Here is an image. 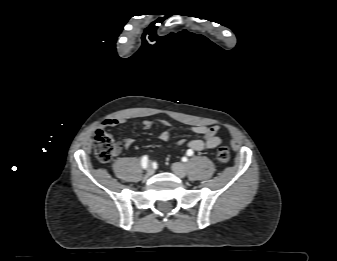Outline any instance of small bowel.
<instances>
[{
	"instance_id": "1",
	"label": "small bowel",
	"mask_w": 337,
	"mask_h": 261,
	"mask_svg": "<svg viewBox=\"0 0 337 261\" xmlns=\"http://www.w3.org/2000/svg\"><path fill=\"white\" fill-rule=\"evenodd\" d=\"M123 123L121 119H108L102 123V127H116ZM160 123L164 126H169L170 123L165 120H161ZM153 122L150 120L143 121V127L145 129L151 128ZM190 131L201 136L200 139L193 140H178L177 144L182 146L185 145L188 149L192 151H203L205 149H213L218 147L222 143V139L218 136L219 126L217 125H194L190 127ZM171 138V133L169 131L163 132L159 139L162 142H168ZM121 145L129 149L133 146L134 140L131 138H124L120 140Z\"/></svg>"
}]
</instances>
